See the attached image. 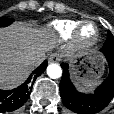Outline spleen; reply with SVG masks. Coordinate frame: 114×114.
<instances>
[{"label": "spleen", "mask_w": 114, "mask_h": 114, "mask_svg": "<svg viewBox=\"0 0 114 114\" xmlns=\"http://www.w3.org/2000/svg\"><path fill=\"white\" fill-rule=\"evenodd\" d=\"M100 83V80H87V81H84L82 83V86L85 88V89H92L94 88L96 85H98Z\"/></svg>", "instance_id": "spleen-1"}]
</instances>
